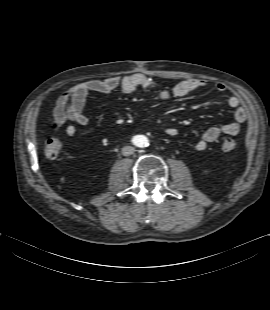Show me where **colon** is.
Listing matches in <instances>:
<instances>
[{"mask_svg":"<svg viewBox=\"0 0 270 310\" xmlns=\"http://www.w3.org/2000/svg\"><path fill=\"white\" fill-rule=\"evenodd\" d=\"M54 128H57V124H53ZM238 147V141L235 138L227 137L222 142V149L230 152ZM63 148L62 141L57 136L50 137L45 144V154L48 158H56L59 156Z\"/></svg>","mask_w":270,"mask_h":310,"instance_id":"1","label":"colon"}]
</instances>
